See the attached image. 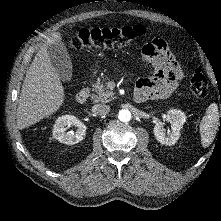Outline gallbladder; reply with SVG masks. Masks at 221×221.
Segmentation results:
<instances>
[{"label":"gallbladder","mask_w":221,"mask_h":221,"mask_svg":"<svg viewBox=\"0 0 221 221\" xmlns=\"http://www.w3.org/2000/svg\"><path fill=\"white\" fill-rule=\"evenodd\" d=\"M48 54L51 64L61 80L64 82L70 81L72 77V63L65 45L61 42L50 45L48 47Z\"/></svg>","instance_id":"bac80fb5"}]
</instances>
